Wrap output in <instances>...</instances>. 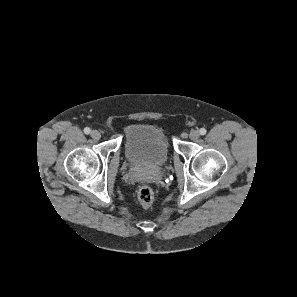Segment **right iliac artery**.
<instances>
[{
	"label": "right iliac artery",
	"mask_w": 297,
	"mask_h": 297,
	"mask_svg": "<svg viewBox=\"0 0 297 297\" xmlns=\"http://www.w3.org/2000/svg\"><path fill=\"white\" fill-rule=\"evenodd\" d=\"M90 131H91V130H90V128H88V127H86V128L84 129V133H85V134H89Z\"/></svg>",
	"instance_id": "82829eb1"
}]
</instances>
